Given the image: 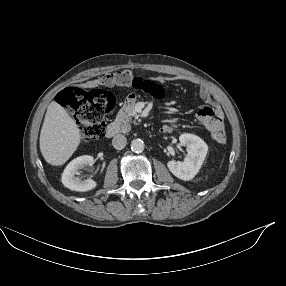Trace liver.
<instances>
[{
    "label": "liver",
    "instance_id": "liver-1",
    "mask_svg": "<svg viewBox=\"0 0 286 286\" xmlns=\"http://www.w3.org/2000/svg\"><path fill=\"white\" fill-rule=\"evenodd\" d=\"M81 132L75 121L57 102L47 107L40 133V150L47 163L64 164L77 150Z\"/></svg>",
    "mask_w": 286,
    "mask_h": 286
}]
</instances>
